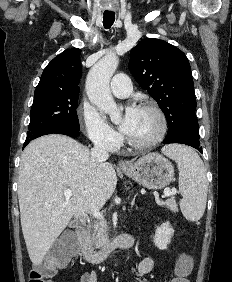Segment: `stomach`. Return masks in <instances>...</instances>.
Returning <instances> with one entry per match:
<instances>
[{
    "instance_id": "obj_1",
    "label": "stomach",
    "mask_w": 232,
    "mask_h": 282,
    "mask_svg": "<svg viewBox=\"0 0 232 282\" xmlns=\"http://www.w3.org/2000/svg\"><path fill=\"white\" fill-rule=\"evenodd\" d=\"M124 174L140 185L158 190L166 187L174 178V167L171 162L158 153H149L131 164Z\"/></svg>"
}]
</instances>
